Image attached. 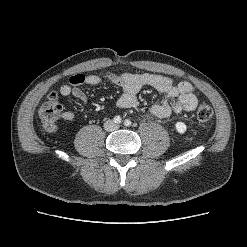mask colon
Returning <instances> with one entry per match:
<instances>
[{"label": "colon", "mask_w": 247, "mask_h": 247, "mask_svg": "<svg viewBox=\"0 0 247 247\" xmlns=\"http://www.w3.org/2000/svg\"><path fill=\"white\" fill-rule=\"evenodd\" d=\"M62 107L58 101V96L56 93H50L46 101L40 106L38 115L43 124V126L49 130L53 131L56 128V120L60 116ZM213 115V110L211 106L207 104H201L196 110V117L201 122H206L211 119Z\"/></svg>", "instance_id": "obj_1"}]
</instances>
